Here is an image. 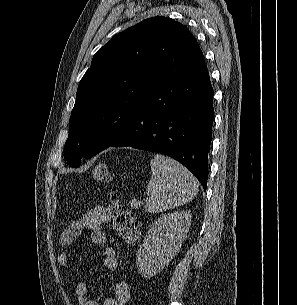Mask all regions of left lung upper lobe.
<instances>
[{"label": "left lung upper lobe", "mask_w": 297, "mask_h": 305, "mask_svg": "<svg viewBox=\"0 0 297 305\" xmlns=\"http://www.w3.org/2000/svg\"><path fill=\"white\" fill-rule=\"evenodd\" d=\"M205 67L190 31L168 17H152L113 37L94 55L81 79L65 143L68 164L79 167L113 142L127 117L154 88Z\"/></svg>", "instance_id": "obj_1"}]
</instances>
